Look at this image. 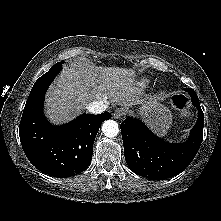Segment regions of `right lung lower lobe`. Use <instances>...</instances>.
Returning a JSON list of instances; mask_svg holds the SVG:
<instances>
[{
    "label": "right lung lower lobe",
    "mask_w": 221,
    "mask_h": 221,
    "mask_svg": "<svg viewBox=\"0 0 221 221\" xmlns=\"http://www.w3.org/2000/svg\"><path fill=\"white\" fill-rule=\"evenodd\" d=\"M47 88L30 93L20 121V141L37 169L54 177H69L89 166L99 127L111 114H83L69 124L53 126L43 115Z\"/></svg>",
    "instance_id": "obj_1"
}]
</instances>
